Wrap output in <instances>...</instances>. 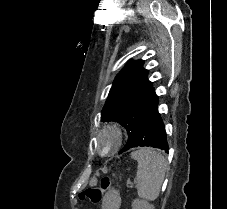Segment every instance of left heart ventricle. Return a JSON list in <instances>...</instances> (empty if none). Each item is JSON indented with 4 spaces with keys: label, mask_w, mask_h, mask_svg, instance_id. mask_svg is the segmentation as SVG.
<instances>
[{
    "label": "left heart ventricle",
    "mask_w": 227,
    "mask_h": 209,
    "mask_svg": "<svg viewBox=\"0 0 227 209\" xmlns=\"http://www.w3.org/2000/svg\"><path fill=\"white\" fill-rule=\"evenodd\" d=\"M115 138L111 132H106L98 138V146L101 150H106L114 145Z\"/></svg>",
    "instance_id": "1"
}]
</instances>
